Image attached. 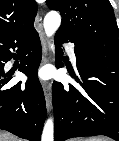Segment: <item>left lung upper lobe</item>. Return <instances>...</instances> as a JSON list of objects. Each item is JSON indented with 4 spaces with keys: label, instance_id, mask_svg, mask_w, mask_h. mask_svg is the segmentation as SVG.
I'll return each mask as SVG.
<instances>
[{
    "label": "left lung upper lobe",
    "instance_id": "left-lung-upper-lobe-1",
    "mask_svg": "<svg viewBox=\"0 0 119 141\" xmlns=\"http://www.w3.org/2000/svg\"><path fill=\"white\" fill-rule=\"evenodd\" d=\"M62 16L57 33H65L91 56L119 59L118 26L109 0H47Z\"/></svg>",
    "mask_w": 119,
    "mask_h": 141
}]
</instances>
